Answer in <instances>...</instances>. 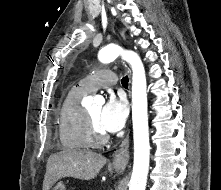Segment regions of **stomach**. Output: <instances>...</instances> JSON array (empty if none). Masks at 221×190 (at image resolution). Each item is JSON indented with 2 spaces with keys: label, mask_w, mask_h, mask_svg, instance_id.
<instances>
[{
  "label": "stomach",
  "mask_w": 221,
  "mask_h": 190,
  "mask_svg": "<svg viewBox=\"0 0 221 190\" xmlns=\"http://www.w3.org/2000/svg\"><path fill=\"white\" fill-rule=\"evenodd\" d=\"M52 190H66L63 182H59Z\"/></svg>",
  "instance_id": "0dacf381"
}]
</instances>
